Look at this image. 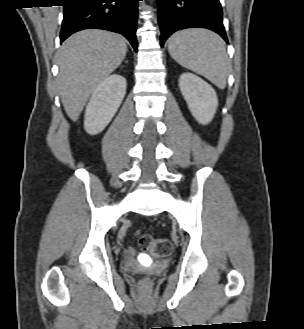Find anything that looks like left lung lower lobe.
<instances>
[{"instance_id": "1", "label": "left lung lower lobe", "mask_w": 304, "mask_h": 329, "mask_svg": "<svg viewBox=\"0 0 304 329\" xmlns=\"http://www.w3.org/2000/svg\"><path fill=\"white\" fill-rule=\"evenodd\" d=\"M161 46L175 31L203 27L218 33L227 43L219 0H157Z\"/></svg>"}]
</instances>
